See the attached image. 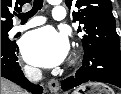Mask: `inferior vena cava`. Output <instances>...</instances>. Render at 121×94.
Instances as JSON below:
<instances>
[{"label": "inferior vena cava", "instance_id": "obj_1", "mask_svg": "<svg viewBox=\"0 0 121 94\" xmlns=\"http://www.w3.org/2000/svg\"><path fill=\"white\" fill-rule=\"evenodd\" d=\"M24 74L33 83H37L42 79V72L38 68H32L29 66L24 67Z\"/></svg>", "mask_w": 121, "mask_h": 94}]
</instances>
